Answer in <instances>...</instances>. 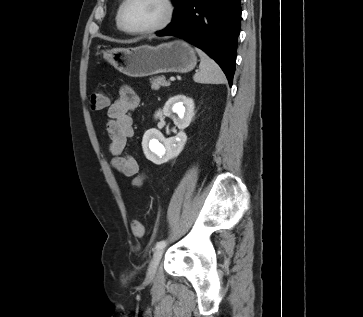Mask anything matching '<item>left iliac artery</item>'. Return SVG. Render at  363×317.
<instances>
[{
  "mask_svg": "<svg viewBox=\"0 0 363 317\" xmlns=\"http://www.w3.org/2000/svg\"><path fill=\"white\" fill-rule=\"evenodd\" d=\"M165 246H166V241L162 240V241H159V242L156 243L155 249L163 248Z\"/></svg>",
  "mask_w": 363,
  "mask_h": 317,
  "instance_id": "left-iliac-artery-1",
  "label": "left iliac artery"
}]
</instances>
